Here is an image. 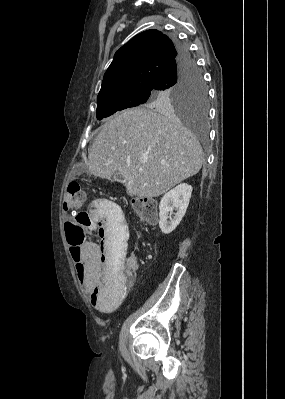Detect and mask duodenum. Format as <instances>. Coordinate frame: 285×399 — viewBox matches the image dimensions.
I'll return each instance as SVG.
<instances>
[{
	"label": "duodenum",
	"instance_id": "410a0bca",
	"mask_svg": "<svg viewBox=\"0 0 285 399\" xmlns=\"http://www.w3.org/2000/svg\"><path fill=\"white\" fill-rule=\"evenodd\" d=\"M103 218H104V219H107V218H108V212H107V211L104 212Z\"/></svg>",
	"mask_w": 285,
	"mask_h": 399
}]
</instances>
